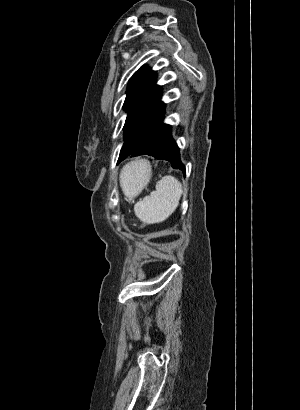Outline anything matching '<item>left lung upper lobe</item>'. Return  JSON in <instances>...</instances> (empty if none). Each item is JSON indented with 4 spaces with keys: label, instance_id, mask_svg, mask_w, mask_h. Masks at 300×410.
<instances>
[{
    "label": "left lung upper lobe",
    "instance_id": "1",
    "mask_svg": "<svg viewBox=\"0 0 300 410\" xmlns=\"http://www.w3.org/2000/svg\"><path fill=\"white\" fill-rule=\"evenodd\" d=\"M155 80V72L142 67L128 84L124 102V109L128 112L124 125L125 142L118 162L145 144L162 123L165 104L160 100L162 89Z\"/></svg>",
    "mask_w": 300,
    "mask_h": 410
}]
</instances>
